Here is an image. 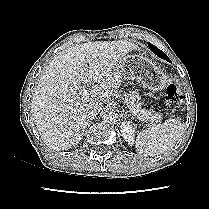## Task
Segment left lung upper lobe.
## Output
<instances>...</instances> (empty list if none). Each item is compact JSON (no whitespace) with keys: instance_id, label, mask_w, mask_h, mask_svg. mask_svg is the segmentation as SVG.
<instances>
[{"instance_id":"1","label":"left lung upper lobe","mask_w":209,"mask_h":209,"mask_svg":"<svg viewBox=\"0 0 209 209\" xmlns=\"http://www.w3.org/2000/svg\"><path fill=\"white\" fill-rule=\"evenodd\" d=\"M148 46L150 48V50L155 53L158 57L167 60L170 62L169 58L167 57V55L165 53H163L161 50H159L157 47H155L154 45L148 43Z\"/></svg>"}]
</instances>
